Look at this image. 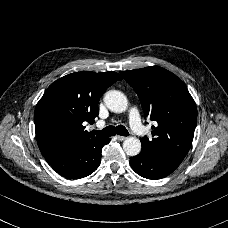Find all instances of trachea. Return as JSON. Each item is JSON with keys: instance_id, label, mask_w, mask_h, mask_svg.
Returning <instances> with one entry per match:
<instances>
[{"instance_id": "1", "label": "trachea", "mask_w": 228, "mask_h": 228, "mask_svg": "<svg viewBox=\"0 0 228 228\" xmlns=\"http://www.w3.org/2000/svg\"><path fill=\"white\" fill-rule=\"evenodd\" d=\"M94 133L100 137L114 136L116 134L120 136H128V130L123 125H118L116 128L114 126H107L103 130H94Z\"/></svg>"}]
</instances>
